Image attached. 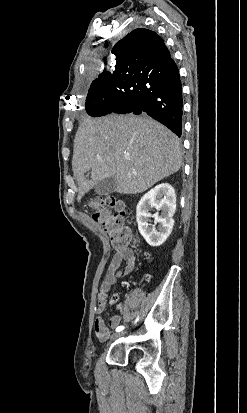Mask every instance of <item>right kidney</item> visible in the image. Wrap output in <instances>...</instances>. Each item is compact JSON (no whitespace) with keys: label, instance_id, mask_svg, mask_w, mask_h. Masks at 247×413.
I'll list each match as a JSON object with an SVG mask.
<instances>
[{"label":"right kidney","instance_id":"ca27d5eb","mask_svg":"<svg viewBox=\"0 0 247 413\" xmlns=\"http://www.w3.org/2000/svg\"><path fill=\"white\" fill-rule=\"evenodd\" d=\"M152 209L162 211L160 217L158 213L151 215L149 211H152ZM175 211L176 194L169 182L157 184V186L148 190L140 198L136 207V221L139 233H141L148 245H151V247L163 245L173 229V215ZM151 217H154V223H159L158 229H155V225H150Z\"/></svg>","mask_w":247,"mask_h":413}]
</instances>
